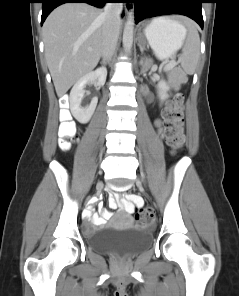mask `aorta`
<instances>
[{"label": "aorta", "mask_w": 239, "mask_h": 296, "mask_svg": "<svg viewBox=\"0 0 239 296\" xmlns=\"http://www.w3.org/2000/svg\"><path fill=\"white\" fill-rule=\"evenodd\" d=\"M133 33H134V17L130 12L125 23L123 31V47L125 52L129 53L133 45Z\"/></svg>", "instance_id": "aorta-1"}]
</instances>
